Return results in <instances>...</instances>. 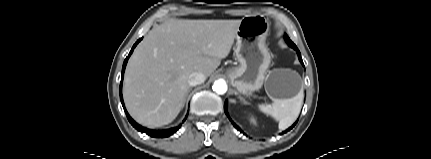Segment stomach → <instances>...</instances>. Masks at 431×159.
Returning a JSON list of instances; mask_svg holds the SVG:
<instances>
[{"label": "stomach", "instance_id": "1", "mask_svg": "<svg viewBox=\"0 0 431 159\" xmlns=\"http://www.w3.org/2000/svg\"><path fill=\"white\" fill-rule=\"evenodd\" d=\"M269 22L263 15H247L241 19L236 33L235 55L238 65L228 68L231 84L243 95L265 86L272 99H291L302 90L301 77L289 69L267 74L271 56L265 45Z\"/></svg>", "mask_w": 431, "mask_h": 159}]
</instances>
